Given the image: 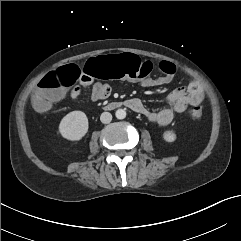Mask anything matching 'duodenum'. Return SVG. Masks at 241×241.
<instances>
[{"instance_id":"duodenum-1","label":"duodenum","mask_w":241,"mask_h":241,"mask_svg":"<svg viewBox=\"0 0 241 241\" xmlns=\"http://www.w3.org/2000/svg\"><path fill=\"white\" fill-rule=\"evenodd\" d=\"M124 105H128V103H124V102H111L109 104L106 105V109L108 110H114L117 109L119 107H122Z\"/></svg>"}]
</instances>
